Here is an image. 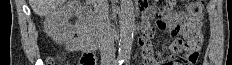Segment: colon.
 <instances>
[{
    "label": "colon",
    "mask_w": 232,
    "mask_h": 65,
    "mask_svg": "<svg viewBox=\"0 0 232 65\" xmlns=\"http://www.w3.org/2000/svg\"><path fill=\"white\" fill-rule=\"evenodd\" d=\"M174 0H157L155 7L158 13L167 14L171 11ZM204 19V1L189 2L186 10V31L183 40L174 41L171 46L172 56L167 60L178 65H189L198 59L203 35L202 25ZM55 63V58H49L48 64ZM94 58L91 53H85L81 58L82 65H93Z\"/></svg>",
    "instance_id": "colon-1"
}]
</instances>
